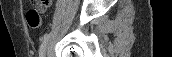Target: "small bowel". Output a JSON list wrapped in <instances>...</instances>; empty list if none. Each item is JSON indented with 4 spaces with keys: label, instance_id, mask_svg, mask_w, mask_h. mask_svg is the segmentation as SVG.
Here are the masks:
<instances>
[{
    "label": "small bowel",
    "instance_id": "obj_1",
    "mask_svg": "<svg viewBox=\"0 0 172 57\" xmlns=\"http://www.w3.org/2000/svg\"><path fill=\"white\" fill-rule=\"evenodd\" d=\"M52 4L51 0H45L39 5L40 11H45L48 7H50Z\"/></svg>",
    "mask_w": 172,
    "mask_h": 57
}]
</instances>
